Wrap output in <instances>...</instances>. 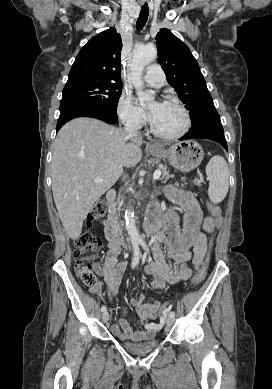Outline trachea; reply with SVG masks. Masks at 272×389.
<instances>
[{
    "instance_id": "1",
    "label": "trachea",
    "mask_w": 272,
    "mask_h": 389,
    "mask_svg": "<svg viewBox=\"0 0 272 389\" xmlns=\"http://www.w3.org/2000/svg\"><path fill=\"white\" fill-rule=\"evenodd\" d=\"M148 15H149V8H148V5L145 4L141 7V12H140L138 20L136 22V27L138 30L143 29V27L145 26V24L147 22Z\"/></svg>"
}]
</instances>
